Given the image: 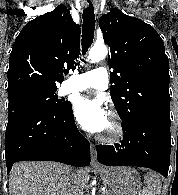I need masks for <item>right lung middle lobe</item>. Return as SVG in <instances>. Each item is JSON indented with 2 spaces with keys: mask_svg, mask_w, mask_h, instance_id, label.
<instances>
[{
  "mask_svg": "<svg viewBox=\"0 0 178 195\" xmlns=\"http://www.w3.org/2000/svg\"><path fill=\"white\" fill-rule=\"evenodd\" d=\"M56 90L30 89L8 96V111L15 107L38 108L42 110H61L70 103L61 102L55 94Z\"/></svg>",
  "mask_w": 178,
  "mask_h": 195,
  "instance_id": "obj_1",
  "label": "right lung middle lobe"
}]
</instances>
